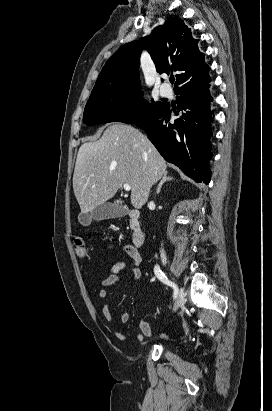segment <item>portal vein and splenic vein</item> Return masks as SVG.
Instances as JSON below:
<instances>
[{"label": "portal vein and splenic vein", "instance_id": "1", "mask_svg": "<svg viewBox=\"0 0 272 411\" xmlns=\"http://www.w3.org/2000/svg\"><path fill=\"white\" fill-rule=\"evenodd\" d=\"M123 188H124L125 191H130L131 190V187H130L129 184H124Z\"/></svg>", "mask_w": 272, "mask_h": 411}]
</instances>
